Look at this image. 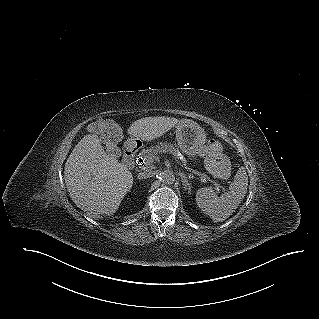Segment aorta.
I'll list each match as a JSON object with an SVG mask.
<instances>
[{"label":"aorta","instance_id":"obj_1","mask_svg":"<svg viewBox=\"0 0 319 319\" xmlns=\"http://www.w3.org/2000/svg\"><path fill=\"white\" fill-rule=\"evenodd\" d=\"M161 180L165 184H173L175 182V175L170 170H165L160 174Z\"/></svg>","mask_w":319,"mask_h":319}]
</instances>
